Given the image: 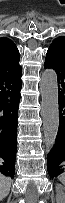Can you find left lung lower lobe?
Listing matches in <instances>:
<instances>
[{"mask_svg":"<svg viewBox=\"0 0 65 203\" xmlns=\"http://www.w3.org/2000/svg\"><path fill=\"white\" fill-rule=\"evenodd\" d=\"M44 68H52L58 76L59 129L55 145L47 155L50 178L65 173V49L49 47Z\"/></svg>","mask_w":65,"mask_h":203,"instance_id":"left-lung-lower-lobe-1","label":"left lung lower lobe"}]
</instances>
